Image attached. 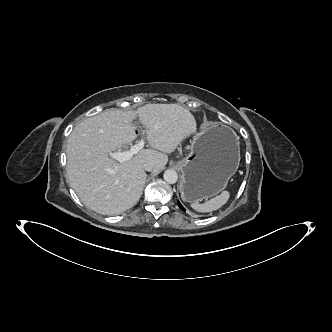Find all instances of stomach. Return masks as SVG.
I'll return each mask as SVG.
<instances>
[{
	"label": "stomach",
	"instance_id": "0dacf381",
	"mask_svg": "<svg viewBox=\"0 0 332 332\" xmlns=\"http://www.w3.org/2000/svg\"><path fill=\"white\" fill-rule=\"evenodd\" d=\"M240 159L238 137L231 128L203 130L193 139L188 156L177 162L182 171V199L194 203L223 192Z\"/></svg>",
	"mask_w": 332,
	"mask_h": 332
}]
</instances>
